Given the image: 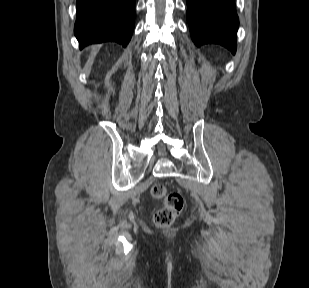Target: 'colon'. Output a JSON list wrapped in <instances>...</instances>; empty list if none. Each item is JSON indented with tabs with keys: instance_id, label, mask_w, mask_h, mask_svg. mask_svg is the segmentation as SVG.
Returning <instances> with one entry per match:
<instances>
[{
	"instance_id": "obj_1",
	"label": "colon",
	"mask_w": 309,
	"mask_h": 288,
	"mask_svg": "<svg viewBox=\"0 0 309 288\" xmlns=\"http://www.w3.org/2000/svg\"><path fill=\"white\" fill-rule=\"evenodd\" d=\"M151 195L163 201L161 207L154 215V222L158 227L170 226L184 208V197L179 192H168L162 183H155L151 187Z\"/></svg>"
}]
</instances>
